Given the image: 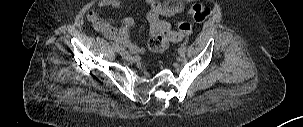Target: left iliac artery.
I'll return each mask as SVG.
<instances>
[{"label":"left iliac artery","instance_id":"44dca946","mask_svg":"<svg viewBox=\"0 0 303 127\" xmlns=\"http://www.w3.org/2000/svg\"><path fill=\"white\" fill-rule=\"evenodd\" d=\"M187 51V47L185 45H182L179 49V52L185 53Z\"/></svg>","mask_w":303,"mask_h":127}]
</instances>
